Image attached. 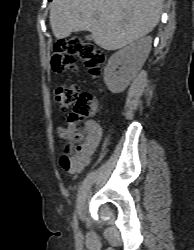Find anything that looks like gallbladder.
<instances>
[{
	"mask_svg": "<svg viewBox=\"0 0 194 250\" xmlns=\"http://www.w3.org/2000/svg\"><path fill=\"white\" fill-rule=\"evenodd\" d=\"M85 38L88 39V40H91L92 39V35H87Z\"/></svg>",
	"mask_w": 194,
	"mask_h": 250,
	"instance_id": "gallbladder-1",
	"label": "gallbladder"
}]
</instances>
